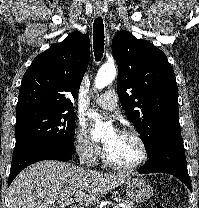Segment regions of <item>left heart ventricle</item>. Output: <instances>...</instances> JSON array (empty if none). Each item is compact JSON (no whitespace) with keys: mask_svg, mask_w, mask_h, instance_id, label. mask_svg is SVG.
I'll use <instances>...</instances> for the list:
<instances>
[{"mask_svg":"<svg viewBox=\"0 0 199 208\" xmlns=\"http://www.w3.org/2000/svg\"><path fill=\"white\" fill-rule=\"evenodd\" d=\"M102 142L108 156L119 164L131 165L140 159L141 148L132 136L110 131Z\"/></svg>","mask_w":199,"mask_h":208,"instance_id":"b2bd125f","label":"left heart ventricle"}]
</instances>
